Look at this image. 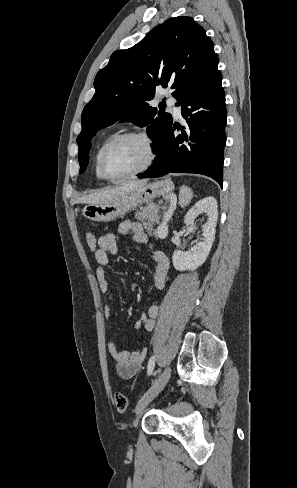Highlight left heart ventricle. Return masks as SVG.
Listing matches in <instances>:
<instances>
[{
	"mask_svg": "<svg viewBox=\"0 0 297 488\" xmlns=\"http://www.w3.org/2000/svg\"><path fill=\"white\" fill-rule=\"evenodd\" d=\"M147 147L137 138L124 140L114 146L105 159V169L110 176H120L139 168L147 159Z\"/></svg>",
	"mask_w": 297,
	"mask_h": 488,
	"instance_id": "left-heart-ventricle-1",
	"label": "left heart ventricle"
}]
</instances>
